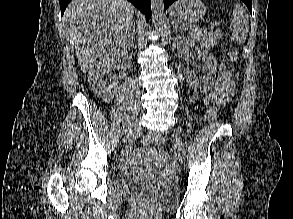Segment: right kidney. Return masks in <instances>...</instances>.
I'll return each mask as SVG.
<instances>
[{
  "label": "right kidney",
  "mask_w": 293,
  "mask_h": 219,
  "mask_svg": "<svg viewBox=\"0 0 293 219\" xmlns=\"http://www.w3.org/2000/svg\"><path fill=\"white\" fill-rule=\"evenodd\" d=\"M113 58H102L89 70L88 83L91 90L102 100L110 102L117 92V83L108 84L104 79L105 74L116 67Z\"/></svg>",
  "instance_id": "obj_1"
}]
</instances>
